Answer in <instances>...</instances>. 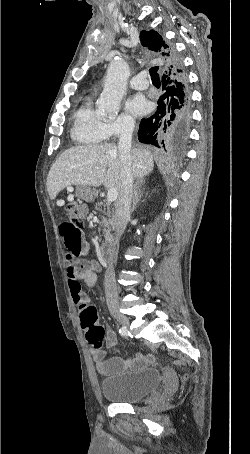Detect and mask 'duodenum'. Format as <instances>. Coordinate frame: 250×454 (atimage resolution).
<instances>
[{
    "mask_svg": "<svg viewBox=\"0 0 250 454\" xmlns=\"http://www.w3.org/2000/svg\"><path fill=\"white\" fill-rule=\"evenodd\" d=\"M114 248L110 242H106L101 246L102 258L106 263H110L113 260Z\"/></svg>",
    "mask_w": 250,
    "mask_h": 454,
    "instance_id": "duodenum-1",
    "label": "duodenum"
}]
</instances>
